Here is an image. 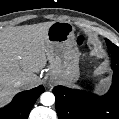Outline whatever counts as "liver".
<instances>
[{"mask_svg": "<svg viewBox=\"0 0 119 119\" xmlns=\"http://www.w3.org/2000/svg\"><path fill=\"white\" fill-rule=\"evenodd\" d=\"M53 22L0 33V105L8 102L17 91L15 82L23 77V87L37 84L35 75L48 60L47 31Z\"/></svg>", "mask_w": 119, "mask_h": 119, "instance_id": "1", "label": "liver"}]
</instances>
